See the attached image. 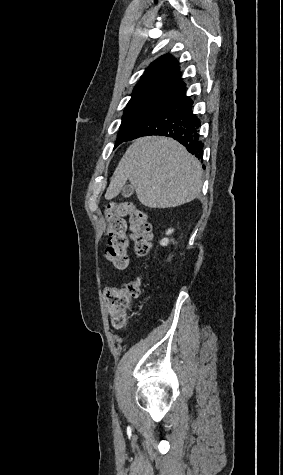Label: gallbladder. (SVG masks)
I'll list each match as a JSON object with an SVG mask.
<instances>
[{
	"mask_svg": "<svg viewBox=\"0 0 283 475\" xmlns=\"http://www.w3.org/2000/svg\"><path fill=\"white\" fill-rule=\"evenodd\" d=\"M133 192H134L133 186H131V184H128V186H124L122 190V196H124V198H130Z\"/></svg>",
	"mask_w": 283,
	"mask_h": 475,
	"instance_id": "obj_1",
	"label": "gallbladder"
}]
</instances>
